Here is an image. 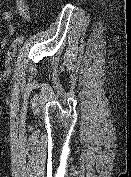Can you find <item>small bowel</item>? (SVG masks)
Here are the masks:
<instances>
[{"mask_svg":"<svg viewBox=\"0 0 131 177\" xmlns=\"http://www.w3.org/2000/svg\"><path fill=\"white\" fill-rule=\"evenodd\" d=\"M15 7L16 10L18 12V14L26 21H31L33 14L30 12V9L28 7V4L26 2V0H15ZM2 20L5 22H10L13 18V13L11 11H3L2 12ZM8 32L10 34H14L15 33V28L12 25H9L7 27ZM3 45H5V43L3 42Z\"/></svg>","mask_w":131,"mask_h":177,"instance_id":"c3829d8e","label":"small bowel"}]
</instances>
